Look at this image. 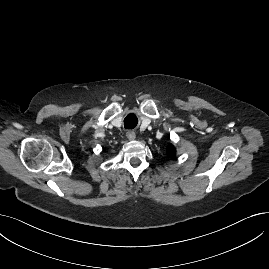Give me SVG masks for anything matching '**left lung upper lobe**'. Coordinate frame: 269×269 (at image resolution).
<instances>
[{
    "label": "left lung upper lobe",
    "mask_w": 269,
    "mask_h": 269,
    "mask_svg": "<svg viewBox=\"0 0 269 269\" xmlns=\"http://www.w3.org/2000/svg\"><path fill=\"white\" fill-rule=\"evenodd\" d=\"M175 153H176V150H175L174 146L173 145H169L167 147V155L169 157H173L175 155Z\"/></svg>",
    "instance_id": "1"
}]
</instances>
